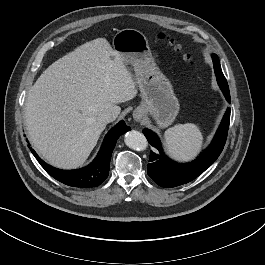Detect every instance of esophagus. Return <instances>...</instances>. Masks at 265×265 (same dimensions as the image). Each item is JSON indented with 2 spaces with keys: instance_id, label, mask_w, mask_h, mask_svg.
Here are the masks:
<instances>
[{
  "instance_id": "1",
  "label": "esophagus",
  "mask_w": 265,
  "mask_h": 265,
  "mask_svg": "<svg viewBox=\"0 0 265 265\" xmlns=\"http://www.w3.org/2000/svg\"><path fill=\"white\" fill-rule=\"evenodd\" d=\"M133 118L135 121L140 122L144 118V115L141 111L136 110L133 113Z\"/></svg>"
}]
</instances>
